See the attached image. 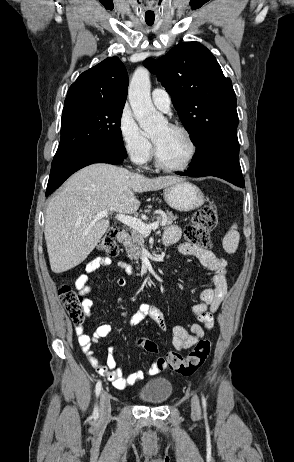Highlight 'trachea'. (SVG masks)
<instances>
[{
    "mask_svg": "<svg viewBox=\"0 0 294 462\" xmlns=\"http://www.w3.org/2000/svg\"><path fill=\"white\" fill-rule=\"evenodd\" d=\"M147 24H148L149 26H151V25L153 24V22H147Z\"/></svg>",
    "mask_w": 294,
    "mask_h": 462,
    "instance_id": "1",
    "label": "trachea"
}]
</instances>
